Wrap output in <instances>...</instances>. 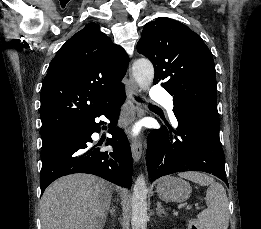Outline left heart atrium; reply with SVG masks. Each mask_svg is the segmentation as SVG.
Returning <instances> with one entry per match:
<instances>
[{"mask_svg":"<svg viewBox=\"0 0 261 229\" xmlns=\"http://www.w3.org/2000/svg\"><path fill=\"white\" fill-rule=\"evenodd\" d=\"M139 132H140V129L137 125L132 126L130 129V132H129L130 137L137 138L139 136Z\"/></svg>","mask_w":261,"mask_h":229,"instance_id":"obj_1","label":"left heart atrium"}]
</instances>
